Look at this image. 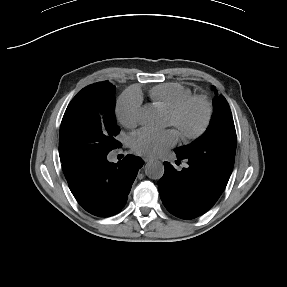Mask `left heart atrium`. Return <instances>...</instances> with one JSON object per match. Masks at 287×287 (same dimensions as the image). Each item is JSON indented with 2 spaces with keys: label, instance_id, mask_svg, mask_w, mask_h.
<instances>
[{
  "label": "left heart atrium",
  "instance_id": "39dd6f15",
  "mask_svg": "<svg viewBox=\"0 0 287 287\" xmlns=\"http://www.w3.org/2000/svg\"><path fill=\"white\" fill-rule=\"evenodd\" d=\"M178 140L174 130L151 132L142 130L133 135L131 146L133 150L146 157H157L172 147Z\"/></svg>",
  "mask_w": 287,
  "mask_h": 287
}]
</instances>
